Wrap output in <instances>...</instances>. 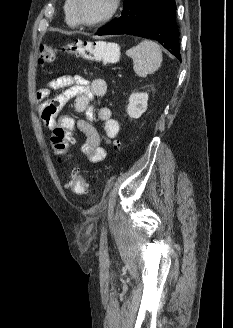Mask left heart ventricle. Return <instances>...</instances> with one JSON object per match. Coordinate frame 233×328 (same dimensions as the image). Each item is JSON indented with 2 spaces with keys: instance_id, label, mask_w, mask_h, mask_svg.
<instances>
[{
  "instance_id": "1",
  "label": "left heart ventricle",
  "mask_w": 233,
  "mask_h": 328,
  "mask_svg": "<svg viewBox=\"0 0 233 328\" xmlns=\"http://www.w3.org/2000/svg\"><path fill=\"white\" fill-rule=\"evenodd\" d=\"M112 0H80L79 11L83 20L95 22L103 18L111 8Z\"/></svg>"
}]
</instances>
